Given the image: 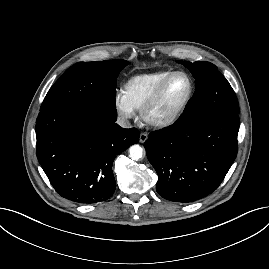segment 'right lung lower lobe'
Here are the masks:
<instances>
[{
  "mask_svg": "<svg viewBox=\"0 0 269 269\" xmlns=\"http://www.w3.org/2000/svg\"><path fill=\"white\" fill-rule=\"evenodd\" d=\"M115 121L69 105L40 111L36 120L37 158L62 197L93 204L113 194V160L139 140L136 128L124 129Z\"/></svg>",
  "mask_w": 269,
  "mask_h": 269,
  "instance_id": "1",
  "label": "right lung lower lobe"
}]
</instances>
